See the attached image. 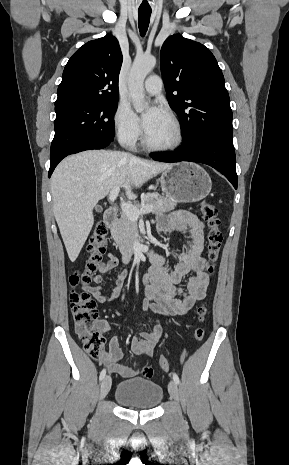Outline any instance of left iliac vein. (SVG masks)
I'll list each match as a JSON object with an SVG mask.
<instances>
[{"instance_id": "4c4485c4", "label": "left iliac vein", "mask_w": 289, "mask_h": 465, "mask_svg": "<svg viewBox=\"0 0 289 465\" xmlns=\"http://www.w3.org/2000/svg\"><path fill=\"white\" fill-rule=\"evenodd\" d=\"M168 391L170 396L175 400L178 401L179 399V390L178 386L175 381H170L168 385Z\"/></svg>"}]
</instances>
